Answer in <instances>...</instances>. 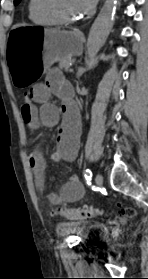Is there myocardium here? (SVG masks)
<instances>
[{
    "mask_svg": "<svg viewBox=\"0 0 148 279\" xmlns=\"http://www.w3.org/2000/svg\"><path fill=\"white\" fill-rule=\"evenodd\" d=\"M41 12L59 24H73L79 21L78 17H66L57 8L56 0H38Z\"/></svg>",
    "mask_w": 148,
    "mask_h": 279,
    "instance_id": "obj_1",
    "label": "myocardium"
}]
</instances>
